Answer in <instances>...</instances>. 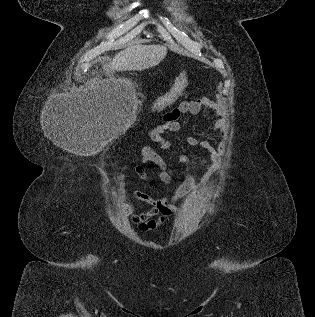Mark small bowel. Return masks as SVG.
I'll return each mask as SVG.
<instances>
[{"label":"small bowel","instance_id":"small-bowel-1","mask_svg":"<svg viewBox=\"0 0 315 317\" xmlns=\"http://www.w3.org/2000/svg\"><path fill=\"white\" fill-rule=\"evenodd\" d=\"M204 109L212 110L219 116V118L210 125L208 131L209 134L219 133L221 135V141L217 147H214L208 137L197 138L189 136L187 138V144L189 146L201 148L210 153L207 159H198V164L201 166L207 163L210 164L209 169L201 179V183H206L213 175L218 167L221 156L226 150L227 121L224 117V110L216 101L207 97L195 101H183L177 108L167 112L163 116L162 124L151 129L148 133L150 139L158 143L162 149H173L174 143L163 136L164 132H184V126L179 121L181 115L185 113L197 115ZM139 155L144 165L151 166L154 169L155 176L163 186H168L171 183L175 173L167 158L149 146L142 147L139 151ZM178 162L185 165L187 171H189L190 159L188 156L179 155ZM134 172L141 180L145 182L151 181V176L144 166H135ZM195 188L196 183L187 175L186 179L176 189L174 195L170 197L164 196L161 192L149 194L137 191L133 194V198L149 204L151 209L139 214H130L129 219L137 226L138 230L142 232L155 231L159 229L171 215L179 210L177 201Z\"/></svg>","mask_w":315,"mask_h":317}]
</instances>
